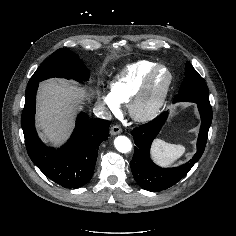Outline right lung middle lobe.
I'll return each mask as SVG.
<instances>
[{"mask_svg":"<svg viewBox=\"0 0 236 236\" xmlns=\"http://www.w3.org/2000/svg\"><path fill=\"white\" fill-rule=\"evenodd\" d=\"M51 77L86 81L88 80L89 72L75 53L67 48H61L55 51L38 67L27 86L37 84Z\"/></svg>","mask_w":236,"mask_h":236,"instance_id":"1","label":"right lung middle lobe"}]
</instances>
